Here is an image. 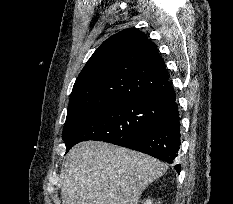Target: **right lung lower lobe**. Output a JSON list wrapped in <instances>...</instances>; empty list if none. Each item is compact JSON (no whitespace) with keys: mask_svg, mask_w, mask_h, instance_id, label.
Segmentation results:
<instances>
[{"mask_svg":"<svg viewBox=\"0 0 233 204\" xmlns=\"http://www.w3.org/2000/svg\"><path fill=\"white\" fill-rule=\"evenodd\" d=\"M152 104L161 117L160 122L142 133L122 137L113 144L172 163L180 146V117L173 87L153 96ZM180 167V164L174 167L178 173Z\"/></svg>","mask_w":233,"mask_h":204,"instance_id":"right-lung-lower-lobe-1","label":"right lung lower lobe"}]
</instances>
